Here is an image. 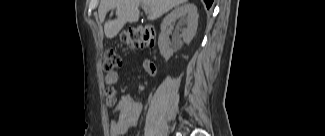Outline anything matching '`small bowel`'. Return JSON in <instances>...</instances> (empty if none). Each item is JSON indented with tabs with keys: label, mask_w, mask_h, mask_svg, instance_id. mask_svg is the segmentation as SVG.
<instances>
[{
	"label": "small bowel",
	"mask_w": 325,
	"mask_h": 136,
	"mask_svg": "<svg viewBox=\"0 0 325 136\" xmlns=\"http://www.w3.org/2000/svg\"><path fill=\"white\" fill-rule=\"evenodd\" d=\"M144 71L149 76L157 75V66L151 60L145 59L142 62ZM120 73L113 71L105 75V83L108 86L106 92V105L113 107L114 119L110 122V136L125 135L131 128L137 125L143 110L142 102L136 100L130 94H122L117 100L116 92L113 87L119 80Z\"/></svg>",
	"instance_id": "obj_1"
}]
</instances>
